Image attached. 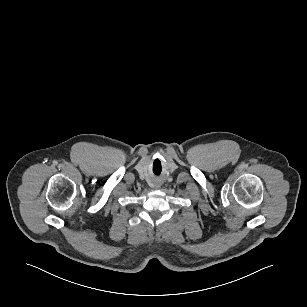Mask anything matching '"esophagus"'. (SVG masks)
<instances>
[{
  "mask_svg": "<svg viewBox=\"0 0 307 307\" xmlns=\"http://www.w3.org/2000/svg\"><path fill=\"white\" fill-rule=\"evenodd\" d=\"M159 187H160V185H157V186H156V188H159Z\"/></svg>",
  "mask_w": 307,
  "mask_h": 307,
  "instance_id": "34e87169",
  "label": "esophagus"
}]
</instances>
